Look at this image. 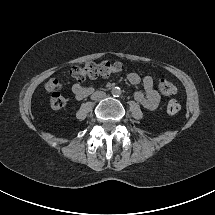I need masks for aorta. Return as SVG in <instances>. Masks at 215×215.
<instances>
[{
    "label": "aorta",
    "instance_id": "aorta-1",
    "mask_svg": "<svg viewBox=\"0 0 215 215\" xmlns=\"http://www.w3.org/2000/svg\"><path fill=\"white\" fill-rule=\"evenodd\" d=\"M111 93L114 97H119L121 95V91L118 88L112 89Z\"/></svg>",
    "mask_w": 215,
    "mask_h": 215
}]
</instances>
